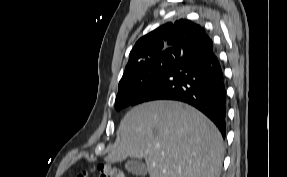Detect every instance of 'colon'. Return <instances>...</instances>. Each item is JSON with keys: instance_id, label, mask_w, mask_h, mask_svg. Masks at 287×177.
Returning a JSON list of instances; mask_svg holds the SVG:
<instances>
[{"instance_id": "colon-1", "label": "colon", "mask_w": 287, "mask_h": 177, "mask_svg": "<svg viewBox=\"0 0 287 177\" xmlns=\"http://www.w3.org/2000/svg\"><path fill=\"white\" fill-rule=\"evenodd\" d=\"M92 172L97 173L98 177H126L125 173L120 168L107 164L98 165L96 168H92L89 171L78 172L74 177H88Z\"/></svg>"}]
</instances>
